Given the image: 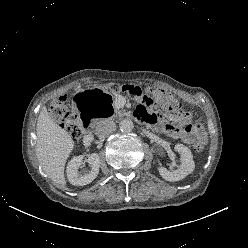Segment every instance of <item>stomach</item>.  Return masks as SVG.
I'll return each instance as SVG.
<instances>
[{
	"mask_svg": "<svg viewBox=\"0 0 248 248\" xmlns=\"http://www.w3.org/2000/svg\"><path fill=\"white\" fill-rule=\"evenodd\" d=\"M72 106L78 116L105 119L113 113L115 103L106 92L90 87L74 96Z\"/></svg>",
	"mask_w": 248,
	"mask_h": 248,
	"instance_id": "stomach-1",
	"label": "stomach"
}]
</instances>
